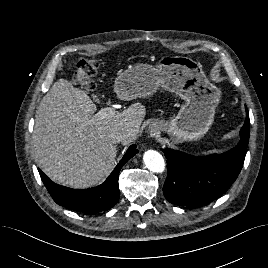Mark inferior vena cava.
I'll use <instances>...</instances> for the list:
<instances>
[{
    "label": "inferior vena cava",
    "mask_w": 268,
    "mask_h": 268,
    "mask_svg": "<svg viewBox=\"0 0 268 268\" xmlns=\"http://www.w3.org/2000/svg\"><path fill=\"white\" fill-rule=\"evenodd\" d=\"M135 132L134 131H130L127 133L121 132V131H111L108 134V138L110 139V141H112L113 143H119L121 141H123L124 139H132L135 137Z\"/></svg>",
    "instance_id": "inferior-vena-cava-1"
}]
</instances>
